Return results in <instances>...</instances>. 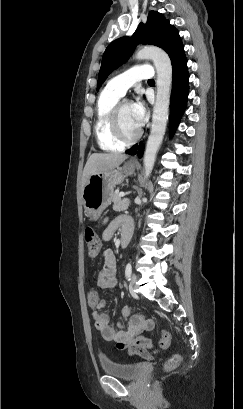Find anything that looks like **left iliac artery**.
Wrapping results in <instances>:
<instances>
[{"label":"left iliac artery","mask_w":243,"mask_h":409,"mask_svg":"<svg viewBox=\"0 0 243 409\" xmlns=\"http://www.w3.org/2000/svg\"><path fill=\"white\" fill-rule=\"evenodd\" d=\"M131 273H132V266L130 263H128L125 268V276L129 279L131 276Z\"/></svg>","instance_id":"left-iliac-artery-1"}]
</instances>
